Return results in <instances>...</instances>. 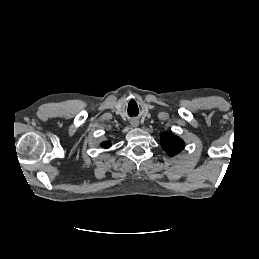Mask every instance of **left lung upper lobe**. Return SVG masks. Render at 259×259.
<instances>
[{
  "mask_svg": "<svg viewBox=\"0 0 259 259\" xmlns=\"http://www.w3.org/2000/svg\"><path fill=\"white\" fill-rule=\"evenodd\" d=\"M161 146L172 157L183 150L184 142L176 135L163 133L161 134Z\"/></svg>",
  "mask_w": 259,
  "mask_h": 259,
  "instance_id": "1",
  "label": "left lung upper lobe"
}]
</instances>
